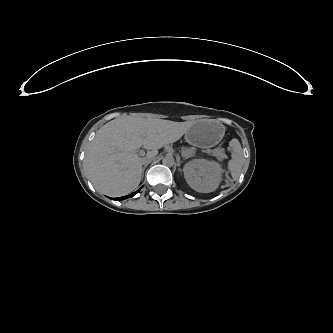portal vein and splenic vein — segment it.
Listing matches in <instances>:
<instances>
[{"mask_svg":"<svg viewBox=\"0 0 333 333\" xmlns=\"http://www.w3.org/2000/svg\"><path fill=\"white\" fill-rule=\"evenodd\" d=\"M139 155L140 156H144L145 155V151H143V150L139 151Z\"/></svg>","mask_w":333,"mask_h":333,"instance_id":"1","label":"portal vein and splenic vein"}]
</instances>
